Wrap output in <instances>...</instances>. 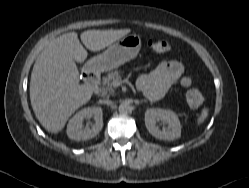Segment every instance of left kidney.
Masks as SVG:
<instances>
[{
  "label": "left kidney",
  "instance_id": "obj_1",
  "mask_svg": "<svg viewBox=\"0 0 249 188\" xmlns=\"http://www.w3.org/2000/svg\"><path fill=\"white\" fill-rule=\"evenodd\" d=\"M162 121L168 129L160 130L157 122ZM145 125L150 134L162 140H175L180 137L181 124L178 116L172 110L150 108L145 112Z\"/></svg>",
  "mask_w": 249,
  "mask_h": 188
}]
</instances>
